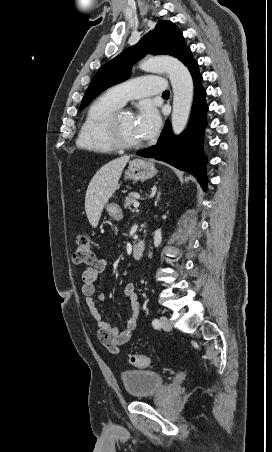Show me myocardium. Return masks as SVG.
I'll return each instance as SVG.
<instances>
[{
  "label": "myocardium",
  "instance_id": "1",
  "mask_svg": "<svg viewBox=\"0 0 272 452\" xmlns=\"http://www.w3.org/2000/svg\"><path fill=\"white\" fill-rule=\"evenodd\" d=\"M126 113L125 109L119 108L113 111L105 122V133L109 142L116 149H133L142 145V141L131 142L126 140L120 132L119 120Z\"/></svg>",
  "mask_w": 272,
  "mask_h": 452
}]
</instances>
